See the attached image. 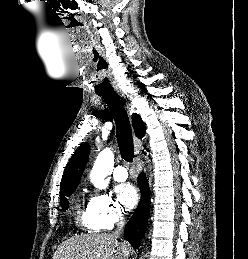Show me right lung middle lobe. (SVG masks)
Segmentation results:
<instances>
[{"label":"right lung middle lobe","instance_id":"dd1d6c3e","mask_svg":"<svg viewBox=\"0 0 248 259\" xmlns=\"http://www.w3.org/2000/svg\"><path fill=\"white\" fill-rule=\"evenodd\" d=\"M74 190L75 189H71L60 193V203L63 210H66L69 207V203L66 196H70L74 192Z\"/></svg>","mask_w":248,"mask_h":259}]
</instances>
